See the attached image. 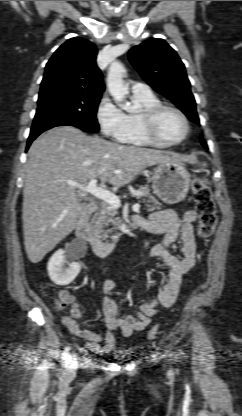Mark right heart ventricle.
Returning <instances> with one entry per match:
<instances>
[{"label": "right heart ventricle", "instance_id": "obj_1", "mask_svg": "<svg viewBox=\"0 0 242 416\" xmlns=\"http://www.w3.org/2000/svg\"><path fill=\"white\" fill-rule=\"evenodd\" d=\"M133 99L140 106L141 110L126 115L127 131L121 141L136 146H162L146 136L141 122V112L147 108L161 104V101L152 92L133 94Z\"/></svg>", "mask_w": 242, "mask_h": 416}]
</instances>
